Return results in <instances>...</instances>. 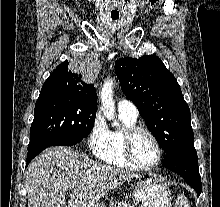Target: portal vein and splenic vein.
I'll list each match as a JSON object with an SVG mask.
<instances>
[{"label": "portal vein and splenic vein", "instance_id": "obj_1", "mask_svg": "<svg viewBox=\"0 0 220 207\" xmlns=\"http://www.w3.org/2000/svg\"><path fill=\"white\" fill-rule=\"evenodd\" d=\"M75 183H76V182H72V183H70L69 186H70V187H74Z\"/></svg>", "mask_w": 220, "mask_h": 207}]
</instances>
